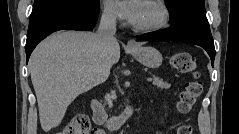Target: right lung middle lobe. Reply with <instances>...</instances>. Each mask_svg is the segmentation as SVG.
Listing matches in <instances>:
<instances>
[{
	"instance_id": "right-lung-middle-lobe-1",
	"label": "right lung middle lobe",
	"mask_w": 239,
	"mask_h": 134,
	"mask_svg": "<svg viewBox=\"0 0 239 134\" xmlns=\"http://www.w3.org/2000/svg\"><path fill=\"white\" fill-rule=\"evenodd\" d=\"M59 2H78L86 6L99 5V0H34L32 14L39 10Z\"/></svg>"
}]
</instances>
